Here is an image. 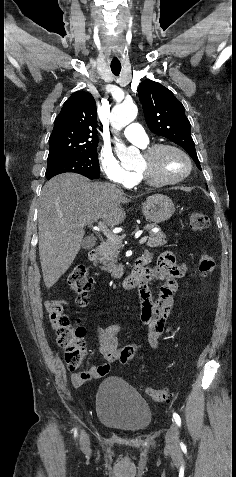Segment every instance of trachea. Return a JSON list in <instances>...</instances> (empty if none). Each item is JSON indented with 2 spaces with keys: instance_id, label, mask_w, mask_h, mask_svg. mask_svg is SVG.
Here are the masks:
<instances>
[{
  "instance_id": "3493384b",
  "label": "trachea",
  "mask_w": 236,
  "mask_h": 477,
  "mask_svg": "<svg viewBox=\"0 0 236 477\" xmlns=\"http://www.w3.org/2000/svg\"><path fill=\"white\" fill-rule=\"evenodd\" d=\"M111 71L114 75L118 76L121 71V64L120 63H111L110 65Z\"/></svg>"
}]
</instances>
